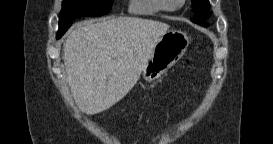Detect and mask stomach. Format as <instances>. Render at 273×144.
<instances>
[{"instance_id": "1", "label": "stomach", "mask_w": 273, "mask_h": 144, "mask_svg": "<svg viewBox=\"0 0 273 144\" xmlns=\"http://www.w3.org/2000/svg\"><path fill=\"white\" fill-rule=\"evenodd\" d=\"M189 38L180 30H168L156 43L143 71V78L152 82L164 75L186 52Z\"/></svg>"}]
</instances>
